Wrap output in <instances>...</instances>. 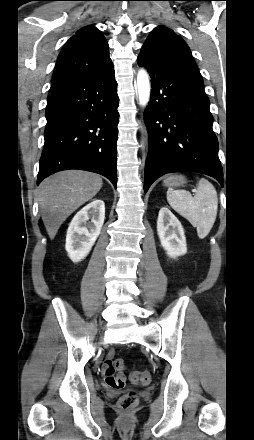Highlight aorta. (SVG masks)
<instances>
[{"label":"aorta","mask_w":254,"mask_h":440,"mask_svg":"<svg viewBox=\"0 0 254 440\" xmlns=\"http://www.w3.org/2000/svg\"><path fill=\"white\" fill-rule=\"evenodd\" d=\"M137 89L140 104L146 106L150 99V82L148 73L143 68L139 70L137 75Z\"/></svg>","instance_id":"1"}]
</instances>
